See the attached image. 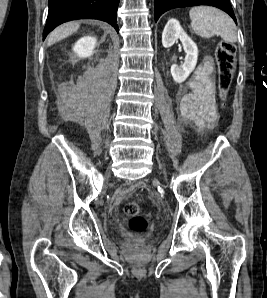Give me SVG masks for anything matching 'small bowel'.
<instances>
[{
    "label": "small bowel",
    "mask_w": 267,
    "mask_h": 298,
    "mask_svg": "<svg viewBox=\"0 0 267 298\" xmlns=\"http://www.w3.org/2000/svg\"><path fill=\"white\" fill-rule=\"evenodd\" d=\"M213 74V61L205 58L186 83L178 102L181 118L199 132L211 130L218 120Z\"/></svg>",
    "instance_id": "1"
}]
</instances>
